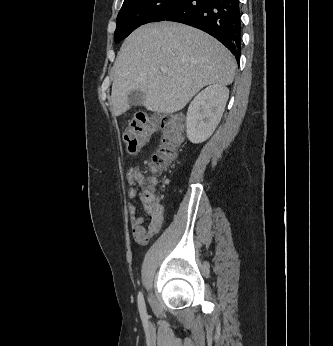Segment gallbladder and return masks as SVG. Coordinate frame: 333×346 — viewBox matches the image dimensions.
Returning <instances> with one entry per match:
<instances>
[{
  "instance_id": "obj_1",
  "label": "gallbladder",
  "mask_w": 333,
  "mask_h": 346,
  "mask_svg": "<svg viewBox=\"0 0 333 346\" xmlns=\"http://www.w3.org/2000/svg\"><path fill=\"white\" fill-rule=\"evenodd\" d=\"M145 98V93L139 90H133L128 95V101L132 106H139Z\"/></svg>"
}]
</instances>
